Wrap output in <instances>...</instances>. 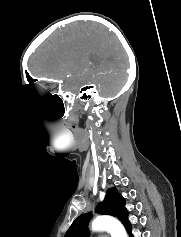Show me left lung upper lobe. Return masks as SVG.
<instances>
[{
  "instance_id": "left-lung-upper-lobe-1",
  "label": "left lung upper lobe",
  "mask_w": 181,
  "mask_h": 237,
  "mask_svg": "<svg viewBox=\"0 0 181 237\" xmlns=\"http://www.w3.org/2000/svg\"><path fill=\"white\" fill-rule=\"evenodd\" d=\"M96 212L117 217L130 234V237H133L131 233L132 226L128 220V211L125 208V199L117 192L115 187L107 190L105 198L98 204ZM91 218L92 213L90 212L77 217L64 237H89L88 224Z\"/></svg>"
}]
</instances>
